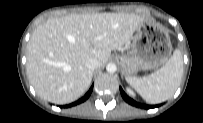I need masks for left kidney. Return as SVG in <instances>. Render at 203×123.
Segmentation results:
<instances>
[{"label": "left kidney", "instance_id": "1", "mask_svg": "<svg viewBox=\"0 0 203 123\" xmlns=\"http://www.w3.org/2000/svg\"><path fill=\"white\" fill-rule=\"evenodd\" d=\"M126 92H127V94H128L129 96L135 97V93H134V91H133L131 88L126 87Z\"/></svg>", "mask_w": 203, "mask_h": 123}]
</instances>
